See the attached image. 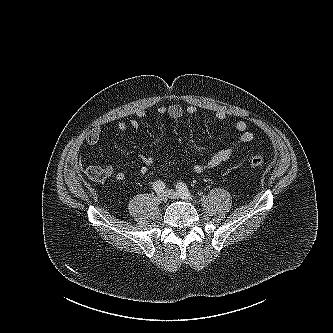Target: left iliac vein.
Masks as SVG:
<instances>
[{"label": "left iliac vein", "mask_w": 333, "mask_h": 333, "mask_svg": "<svg viewBox=\"0 0 333 333\" xmlns=\"http://www.w3.org/2000/svg\"><path fill=\"white\" fill-rule=\"evenodd\" d=\"M165 193L171 199H179V198L184 199V200L188 199V198L182 197L178 192H176L172 189L166 190Z\"/></svg>", "instance_id": "left-iliac-vein-1"}]
</instances>
